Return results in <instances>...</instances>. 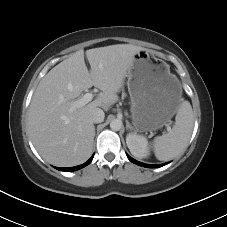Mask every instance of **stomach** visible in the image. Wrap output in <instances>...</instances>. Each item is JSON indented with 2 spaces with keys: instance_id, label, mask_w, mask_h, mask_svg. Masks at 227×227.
Wrapping results in <instances>:
<instances>
[{
  "instance_id": "obj_1",
  "label": "stomach",
  "mask_w": 227,
  "mask_h": 227,
  "mask_svg": "<svg viewBox=\"0 0 227 227\" xmlns=\"http://www.w3.org/2000/svg\"><path fill=\"white\" fill-rule=\"evenodd\" d=\"M127 76L135 129L155 131L166 125L177 112L182 95L169 65L144 49L133 56Z\"/></svg>"
}]
</instances>
